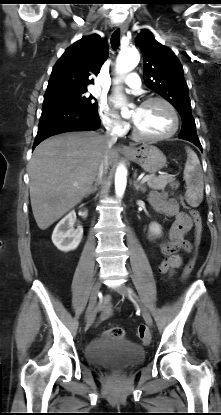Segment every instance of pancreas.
<instances>
[{
  "instance_id": "cf45deb5",
  "label": "pancreas",
  "mask_w": 221,
  "mask_h": 415,
  "mask_svg": "<svg viewBox=\"0 0 221 415\" xmlns=\"http://www.w3.org/2000/svg\"><path fill=\"white\" fill-rule=\"evenodd\" d=\"M174 179L167 176H151L147 181V186L154 190H164L168 183H173Z\"/></svg>"
}]
</instances>
